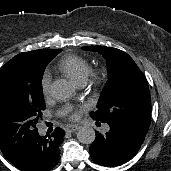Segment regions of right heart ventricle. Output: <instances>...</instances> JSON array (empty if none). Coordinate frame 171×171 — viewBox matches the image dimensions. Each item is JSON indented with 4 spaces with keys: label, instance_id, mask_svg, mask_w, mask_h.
<instances>
[{
    "label": "right heart ventricle",
    "instance_id": "e07e8e85",
    "mask_svg": "<svg viewBox=\"0 0 171 171\" xmlns=\"http://www.w3.org/2000/svg\"><path fill=\"white\" fill-rule=\"evenodd\" d=\"M58 68L78 84H83L85 82L91 70L86 59L74 54L63 57L58 64Z\"/></svg>",
    "mask_w": 171,
    "mask_h": 171
}]
</instances>
